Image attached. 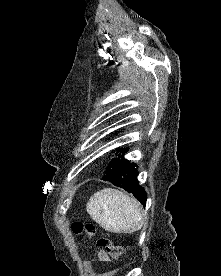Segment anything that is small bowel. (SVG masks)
<instances>
[{
    "mask_svg": "<svg viewBox=\"0 0 221 276\" xmlns=\"http://www.w3.org/2000/svg\"><path fill=\"white\" fill-rule=\"evenodd\" d=\"M98 258L102 262H108L109 261V257L107 255V253L103 250L98 251Z\"/></svg>",
    "mask_w": 221,
    "mask_h": 276,
    "instance_id": "small-bowel-1",
    "label": "small bowel"
}]
</instances>
